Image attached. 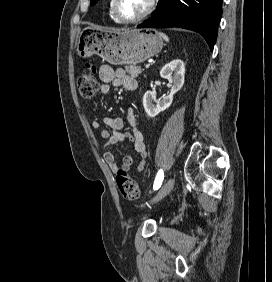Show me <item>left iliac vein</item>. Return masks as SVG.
Listing matches in <instances>:
<instances>
[{
  "instance_id": "obj_1",
  "label": "left iliac vein",
  "mask_w": 272,
  "mask_h": 282,
  "mask_svg": "<svg viewBox=\"0 0 272 282\" xmlns=\"http://www.w3.org/2000/svg\"><path fill=\"white\" fill-rule=\"evenodd\" d=\"M175 179L170 178L165 184L161 187L158 193L151 199L150 203H156L162 198H164L174 187Z\"/></svg>"
}]
</instances>
